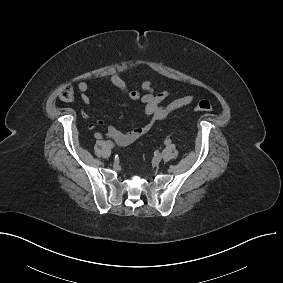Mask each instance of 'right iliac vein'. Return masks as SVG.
<instances>
[{"label":"right iliac vein","instance_id":"obj_1","mask_svg":"<svg viewBox=\"0 0 283 283\" xmlns=\"http://www.w3.org/2000/svg\"><path fill=\"white\" fill-rule=\"evenodd\" d=\"M107 145H108L109 147H113V143H112L111 141H107Z\"/></svg>","mask_w":283,"mask_h":283}]
</instances>
